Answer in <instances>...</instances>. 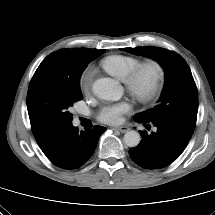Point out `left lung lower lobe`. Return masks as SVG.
Wrapping results in <instances>:
<instances>
[{
    "mask_svg": "<svg viewBox=\"0 0 215 215\" xmlns=\"http://www.w3.org/2000/svg\"><path fill=\"white\" fill-rule=\"evenodd\" d=\"M138 123L156 127L155 132L147 134L139 131L140 144L129 150L130 157L145 169H160L172 163L186 148L192 134L169 121H147L134 118Z\"/></svg>",
    "mask_w": 215,
    "mask_h": 215,
    "instance_id": "1",
    "label": "left lung lower lobe"
}]
</instances>
